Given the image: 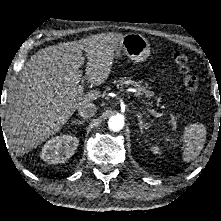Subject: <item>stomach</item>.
I'll return each mask as SVG.
<instances>
[{"label": "stomach", "instance_id": "stomach-1", "mask_svg": "<svg viewBox=\"0 0 221 221\" xmlns=\"http://www.w3.org/2000/svg\"><path fill=\"white\" fill-rule=\"evenodd\" d=\"M122 54L135 62L144 61L150 56V44L141 34L128 33L124 35L115 50L116 58Z\"/></svg>", "mask_w": 221, "mask_h": 221}]
</instances>
